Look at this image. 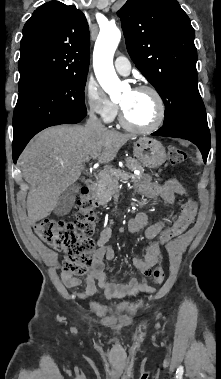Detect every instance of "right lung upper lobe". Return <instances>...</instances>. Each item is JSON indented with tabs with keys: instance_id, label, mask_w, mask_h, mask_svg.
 <instances>
[{
	"instance_id": "obj_1",
	"label": "right lung upper lobe",
	"mask_w": 221,
	"mask_h": 379,
	"mask_svg": "<svg viewBox=\"0 0 221 379\" xmlns=\"http://www.w3.org/2000/svg\"><path fill=\"white\" fill-rule=\"evenodd\" d=\"M90 35L75 6L50 1L38 7L23 28L19 86L64 76H85Z\"/></svg>"
}]
</instances>
